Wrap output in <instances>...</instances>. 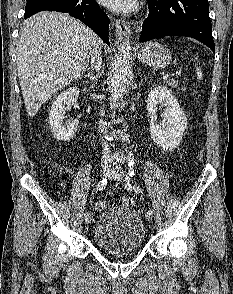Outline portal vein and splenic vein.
<instances>
[{
	"instance_id": "1",
	"label": "portal vein and splenic vein",
	"mask_w": 233,
	"mask_h": 294,
	"mask_svg": "<svg viewBox=\"0 0 233 294\" xmlns=\"http://www.w3.org/2000/svg\"><path fill=\"white\" fill-rule=\"evenodd\" d=\"M169 77H170V75L166 74V75L163 76V79L167 80V79H169Z\"/></svg>"
}]
</instances>
